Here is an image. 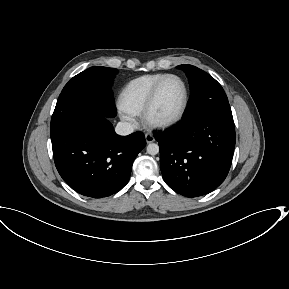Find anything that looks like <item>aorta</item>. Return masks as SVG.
<instances>
[{"label": "aorta", "mask_w": 289, "mask_h": 289, "mask_svg": "<svg viewBox=\"0 0 289 289\" xmlns=\"http://www.w3.org/2000/svg\"><path fill=\"white\" fill-rule=\"evenodd\" d=\"M147 153L150 155H156L159 153V146L156 143H150L147 148Z\"/></svg>", "instance_id": "aorta-1"}]
</instances>
